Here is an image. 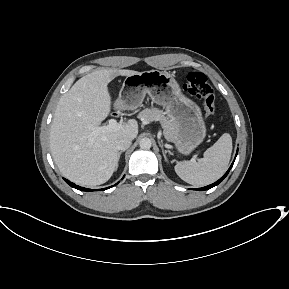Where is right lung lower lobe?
Returning <instances> with one entry per match:
<instances>
[{
	"label": "right lung lower lobe",
	"instance_id": "1",
	"mask_svg": "<svg viewBox=\"0 0 289 289\" xmlns=\"http://www.w3.org/2000/svg\"><path fill=\"white\" fill-rule=\"evenodd\" d=\"M71 187H73V188H76V189H78V190H80V191H95V190H92V189H87V188H83V187H80V186H78V185H75L74 183H72V182H70V181H68V180H66V179H64ZM110 188V187H109ZM106 189H108V188H105V189H100V190H106Z\"/></svg>",
	"mask_w": 289,
	"mask_h": 289
}]
</instances>
